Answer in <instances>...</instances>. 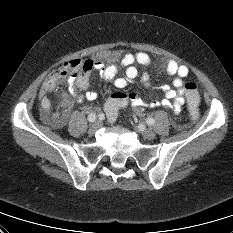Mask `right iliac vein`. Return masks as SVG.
<instances>
[{"instance_id": "1", "label": "right iliac vein", "mask_w": 233, "mask_h": 233, "mask_svg": "<svg viewBox=\"0 0 233 233\" xmlns=\"http://www.w3.org/2000/svg\"><path fill=\"white\" fill-rule=\"evenodd\" d=\"M100 128V123L99 122H95L88 130V133L90 135L95 134V132Z\"/></svg>"}]
</instances>
